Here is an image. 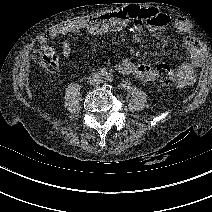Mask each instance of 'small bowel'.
<instances>
[{
	"instance_id": "1",
	"label": "small bowel",
	"mask_w": 212,
	"mask_h": 212,
	"mask_svg": "<svg viewBox=\"0 0 212 212\" xmlns=\"http://www.w3.org/2000/svg\"><path fill=\"white\" fill-rule=\"evenodd\" d=\"M131 23L136 32L149 24L152 28L161 30L171 25L173 30L185 33L188 30L187 22L183 18L172 20L170 16L156 8H142L138 5H127L111 12L100 14L96 18L61 23L52 27L46 34L39 36L38 42L46 44L50 40L68 34L85 31L92 35H101L108 32H120ZM182 47L189 54L191 63H183L177 72L176 85L179 87L188 86L195 80L194 64H199L202 54L198 42L190 35L182 38ZM62 55L65 58H72L73 52L68 40H63L61 47ZM118 70L123 74L133 75L142 81H149L153 78V69L147 64L134 63L128 60L118 65Z\"/></svg>"
}]
</instances>
